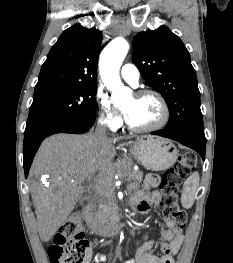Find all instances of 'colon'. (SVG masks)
Instances as JSON below:
<instances>
[{"mask_svg": "<svg viewBox=\"0 0 233 263\" xmlns=\"http://www.w3.org/2000/svg\"><path fill=\"white\" fill-rule=\"evenodd\" d=\"M196 157L191 152L182 153L177 164L161 177V204L165 218L182 228L187 214L178 203V189L182 180L193 170ZM94 242L85 237L81 212H73L62 225L49 247L52 263H92Z\"/></svg>", "mask_w": 233, "mask_h": 263, "instance_id": "1", "label": "colon"}]
</instances>
